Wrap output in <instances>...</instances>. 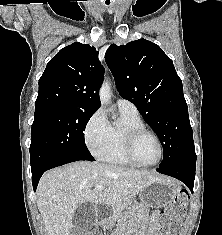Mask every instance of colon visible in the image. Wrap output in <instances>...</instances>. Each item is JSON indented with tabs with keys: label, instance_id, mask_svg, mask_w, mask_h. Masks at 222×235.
<instances>
[{
	"label": "colon",
	"instance_id": "colon-1",
	"mask_svg": "<svg viewBox=\"0 0 222 235\" xmlns=\"http://www.w3.org/2000/svg\"><path fill=\"white\" fill-rule=\"evenodd\" d=\"M189 195L185 190H180L173 201L164 211L162 226L158 235H175L176 227L186 214ZM89 235H100L91 232Z\"/></svg>",
	"mask_w": 222,
	"mask_h": 235
}]
</instances>
